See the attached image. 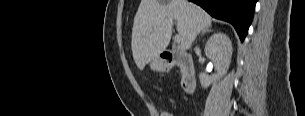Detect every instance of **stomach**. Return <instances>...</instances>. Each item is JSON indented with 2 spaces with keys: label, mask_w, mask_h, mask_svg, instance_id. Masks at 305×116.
Wrapping results in <instances>:
<instances>
[{
  "label": "stomach",
  "mask_w": 305,
  "mask_h": 116,
  "mask_svg": "<svg viewBox=\"0 0 305 116\" xmlns=\"http://www.w3.org/2000/svg\"><path fill=\"white\" fill-rule=\"evenodd\" d=\"M150 67L152 70L157 72H164L167 69L166 63L160 57L154 58L150 62Z\"/></svg>",
  "instance_id": "0dacf381"
}]
</instances>
